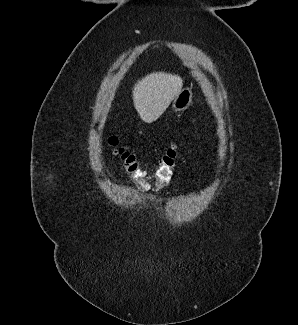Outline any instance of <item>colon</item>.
<instances>
[{
    "mask_svg": "<svg viewBox=\"0 0 298 325\" xmlns=\"http://www.w3.org/2000/svg\"><path fill=\"white\" fill-rule=\"evenodd\" d=\"M109 144L113 147L115 154L122 162V168L135 187L140 191H148L151 184L148 180L146 172L142 169L136 156L124 147L119 145L115 136L109 138ZM178 158V145H171L160 158L158 167L154 174V187L163 189L166 187L173 175Z\"/></svg>",
    "mask_w": 298,
    "mask_h": 325,
    "instance_id": "colon-1",
    "label": "colon"
}]
</instances>
